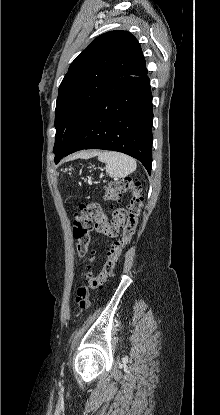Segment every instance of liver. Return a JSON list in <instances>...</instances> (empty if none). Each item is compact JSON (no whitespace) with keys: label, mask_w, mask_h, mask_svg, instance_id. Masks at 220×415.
<instances>
[{"label":"liver","mask_w":220,"mask_h":415,"mask_svg":"<svg viewBox=\"0 0 220 415\" xmlns=\"http://www.w3.org/2000/svg\"><path fill=\"white\" fill-rule=\"evenodd\" d=\"M84 155L85 156H93V155H96V152L85 153Z\"/></svg>","instance_id":"liver-1"}]
</instances>
